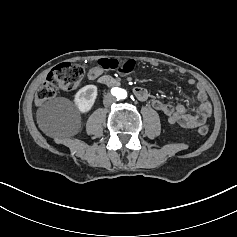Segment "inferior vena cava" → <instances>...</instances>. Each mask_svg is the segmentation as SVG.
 Here are the masks:
<instances>
[{
	"mask_svg": "<svg viewBox=\"0 0 237 237\" xmlns=\"http://www.w3.org/2000/svg\"><path fill=\"white\" fill-rule=\"evenodd\" d=\"M116 99L112 94H107L104 98V105L109 106L112 102H114Z\"/></svg>",
	"mask_w": 237,
	"mask_h": 237,
	"instance_id": "602c4592",
	"label": "inferior vena cava"
}]
</instances>
